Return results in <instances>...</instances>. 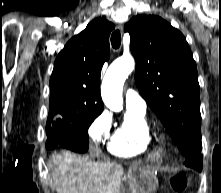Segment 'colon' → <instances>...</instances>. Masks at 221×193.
<instances>
[{"label": "colon", "instance_id": "1", "mask_svg": "<svg viewBox=\"0 0 221 193\" xmlns=\"http://www.w3.org/2000/svg\"><path fill=\"white\" fill-rule=\"evenodd\" d=\"M169 183L171 188L178 193L184 191L187 185L186 177L182 172L172 174Z\"/></svg>", "mask_w": 221, "mask_h": 193}]
</instances>
